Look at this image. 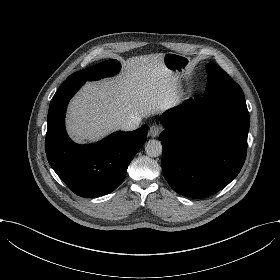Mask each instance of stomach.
Returning a JSON list of instances; mask_svg holds the SVG:
<instances>
[{
    "instance_id": "1",
    "label": "stomach",
    "mask_w": 280,
    "mask_h": 280,
    "mask_svg": "<svg viewBox=\"0 0 280 280\" xmlns=\"http://www.w3.org/2000/svg\"><path fill=\"white\" fill-rule=\"evenodd\" d=\"M162 61L164 66L173 72L175 76L179 77L182 83L189 80L192 72L191 59L189 57L175 52H165Z\"/></svg>"
}]
</instances>
